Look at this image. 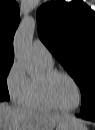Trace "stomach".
Masks as SVG:
<instances>
[{"instance_id": "stomach-1", "label": "stomach", "mask_w": 95, "mask_h": 130, "mask_svg": "<svg viewBox=\"0 0 95 130\" xmlns=\"http://www.w3.org/2000/svg\"><path fill=\"white\" fill-rule=\"evenodd\" d=\"M55 130H88V129L79 119L73 117L58 123Z\"/></svg>"}]
</instances>
